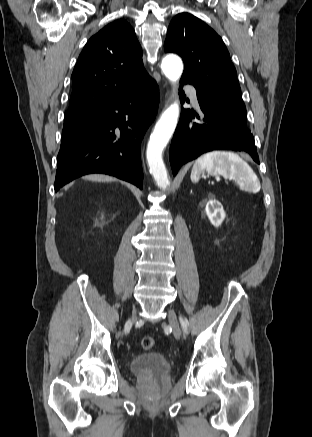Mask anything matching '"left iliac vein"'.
<instances>
[{
  "label": "left iliac vein",
  "instance_id": "obj_1",
  "mask_svg": "<svg viewBox=\"0 0 312 437\" xmlns=\"http://www.w3.org/2000/svg\"><path fill=\"white\" fill-rule=\"evenodd\" d=\"M182 319H186V318H182ZM168 322L170 327L173 330V334L176 338H180L181 336V329H180V325L178 322V318L176 313L173 310H168Z\"/></svg>",
  "mask_w": 312,
  "mask_h": 437
}]
</instances>
